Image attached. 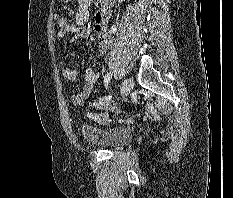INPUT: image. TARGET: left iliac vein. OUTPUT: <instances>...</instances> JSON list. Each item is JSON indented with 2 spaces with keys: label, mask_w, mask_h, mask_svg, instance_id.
<instances>
[{
  "label": "left iliac vein",
  "mask_w": 233,
  "mask_h": 198,
  "mask_svg": "<svg viewBox=\"0 0 233 198\" xmlns=\"http://www.w3.org/2000/svg\"><path fill=\"white\" fill-rule=\"evenodd\" d=\"M134 86V82L132 78H126L121 86V94L123 97H127L129 93L132 91Z\"/></svg>",
  "instance_id": "1"
}]
</instances>
